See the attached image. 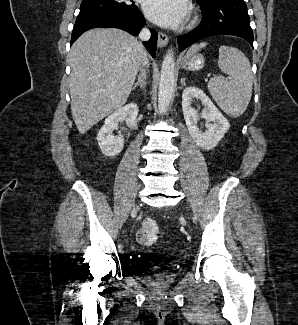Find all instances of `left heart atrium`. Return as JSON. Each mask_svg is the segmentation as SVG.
<instances>
[{
  "mask_svg": "<svg viewBox=\"0 0 298 325\" xmlns=\"http://www.w3.org/2000/svg\"><path fill=\"white\" fill-rule=\"evenodd\" d=\"M143 10L151 22L163 28L179 26L188 13L183 0H145Z\"/></svg>",
  "mask_w": 298,
  "mask_h": 325,
  "instance_id": "39dd6f15",
  "label": "left heart atrium"
}]
</instances>
